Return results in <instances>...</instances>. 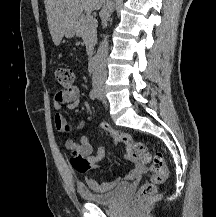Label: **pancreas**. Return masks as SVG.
I'll return each instance as SVG.
<instances>
[{
  "mask_svg": "<svg viewBox=\"0 0 216 217\" xmlns=\"http://www.w3.org/2000/svg\"><path fill=\"white\" fill-rule=\"evenodd\" d=\"M75 27L76 36L83 39L87 55L90 57L97 41V22L94 19H88L87 15H81L76 21Z\"/></svg>",
  "mask_w": 216,
  "mask_h": 217,
  "instance_id": "1",
  "label": "pancreas"
}]
</instances>
